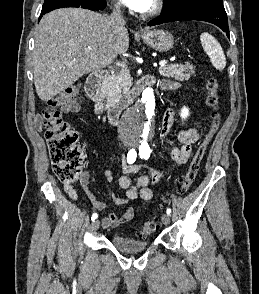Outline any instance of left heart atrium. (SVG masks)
Instances as JSON below:
<instances>
[{"instance_id":"1","label":"left heart atrium","mask_w":259,"mask_h":294,"mask_svg":"<svg viewBox=\"0 0 259 294\" xmlns=\"http://www.w3.org/2000/svg\"><path fill=\"white\" fill-rule=\"evenodd\" d=\"M120 1L124 5L128 6L129 8L135 11L144 12L152 0H120Z\"/></svg>"}]
</instances>
